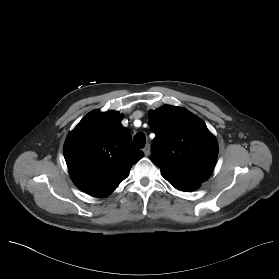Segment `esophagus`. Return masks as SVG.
Returning a JSON list of instances; mask_svg holds the SVG:
<instances>
[{
	"mask_svg": "<svg viewBox=\"0 0 279 279\" xmlns=\"http://www.w3.org/2000/svg\"><path fill=\"white\" fill-rule=\"evenodd\" d=\"M143 152H144L145 156H148L150 154V147H149V145H146L144 147Z\"/></svg>",
	"mask_w": 279,
	"mask_h": 279,
	"instance_id": "esophagus-1",
	"label": "esophagus"
}]
</instances>
